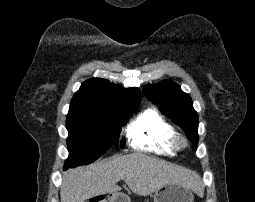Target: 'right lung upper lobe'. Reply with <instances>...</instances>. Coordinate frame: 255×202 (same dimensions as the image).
<instances>
[{
  "label": "right lung upper lobe",
  "instance_id": "right-lung-upper-lobe-1",
  "mask_svg": "<svg viewBox=\"0 0 255 202\" xmlns=\"http://www.w3.org/2000/svg\"><path fill=\"white\" fill-rule=\"evenodd\" d=\"M138 88L123 89L102 78H92L82 83L74 94L68 116L103 115L139 105Z\"/></svg>",
  "mask_w": 255,
  "mask_h": 202
}]
</instances>
